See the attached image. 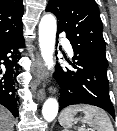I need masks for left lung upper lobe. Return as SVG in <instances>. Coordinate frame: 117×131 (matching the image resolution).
<instances>
[{
	"label": "left lung upper lobe",
	"mask_w": 117,
	"mask_h": 131,
	"mask_svg": "<svg viewBox=\"0 0 117 131\" xmlns=\"http://www.w3.org/2000/svg\"><path fill=\"white\" fill-rule=\"evenodd\" d=\"M46 11L55 14L74 52L107 74L103 26L95 0H49Z\"/></svg>",
	"instance_id": "obj_1"
}]
</instances>
